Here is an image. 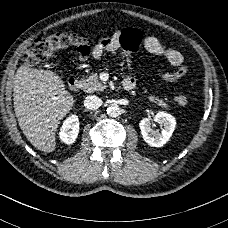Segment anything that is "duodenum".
Wrapping results in <instances>:
<instances>
[{"instance_id":"obj_1","label":"duodenum","mask_w":228,"mask_h":228,"mask_svg":"<svg viewBox=\"0 0 228 228\" xmlns=\"http://www.w3.org/2000/svg\"><path fill=\"white\" fill-rule=\"evenodd\" d=\"M67 84L72 91H79L82 88V80L79 77H70L67 80ZM123 85L126 90H132L135 88L136 82L132 77H127Z\"/></svg>"}]
</instances>
